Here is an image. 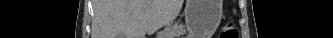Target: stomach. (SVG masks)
I'll return each mask as SVG.
<instances>
[{"instance_id": "1", "label": "stomach", "mask_w": 333, "mask_h": 38, "mask_svg": "<svg viewBox=\"0 0 333 38\" xmlns=\"http://www.w3.org/2000/svg\"><path fill=\"white\" fill-rule=\"evenodd\" d=\"M193 7H194V1L188 0L187 3V10H186V24L189 29L193 27Z\"/></svg>"}]
</instances>
